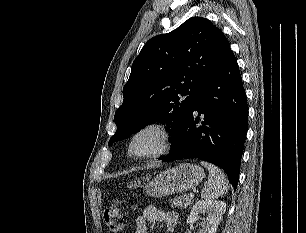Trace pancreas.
I'll return each instance as SVG.
<instances>
[{"label":"pancreas","mask_w":306,"mask_h":233,"mask_svg":"<svg viewBox=\"0 0 306 233\" xmlns=\"http://www.w3.org/2000/svg\"><path fill=\"white\" fill-rule=\"evenodd\" d=\"M193 203V198L189 196H180L171 200V205L178 208H187L189 205Z\"/></svg>","instance_id":"obj_1"}]
</instances>
